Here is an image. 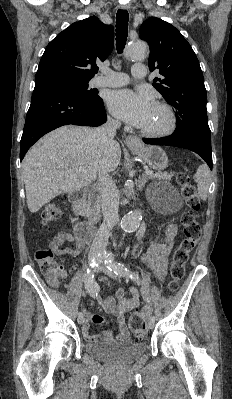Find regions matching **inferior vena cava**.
<instances>
[{"mask_svg": "<svg viewBox=\"0 0 232 399\" xmlns=\"http://www.w3.org/2000/svg\"><path fill=\"white\" fill-rule=\"evenodd\" d=\"M121 124L118 120H112L110 116L107 118L106 124L100 126L95 130L93 134L94 138H98L101 144L110 146L113 144L114 136H116V130L120 128ZM98 180L100 184L99 192L101 194V205L103 213V223L100 227V235H97V241H93L91 247H89V259L91 262L96 252H102L104 248H107L108 233L110 229H113L115 223L118 221V207L119 201L116 196V186L109 174L100 170L98 172Z\"/></svg>", "mask_w": 232, "mask_h": 399, "instance_id": "obj_1", "label": "inferior vena cava"}]
</instances>
